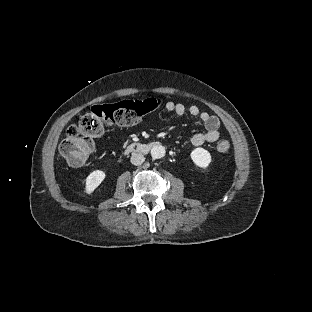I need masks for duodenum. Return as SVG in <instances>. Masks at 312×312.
Instances as JSON below:
<instances>
[{"label":"duodenum","mask_w":312,"mask_h":312,"mask_svg":"<svg viewBox=\"0 0 312 312\" xmlns=\"http://www.w3.org/2000/svg\"><path fill=\"white\" fill-rule=\"evenodd\" d=\"M159 144L158 141H150V142H140V143H132L129 144L125 148V153H140L145 154L149 152L152 148Z\"/></svg>","instance_id":"410a0bca"}]
</instances>
